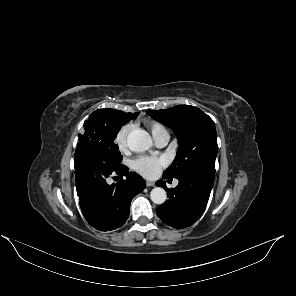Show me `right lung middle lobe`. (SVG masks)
I'll return each mask as SVG.
<instances>
[{"mask_svg":"<svg viewBox=\"0 0 296 296\" xmlns=\"http://www.w3.org/2000/svg\"><path fill=\"white\" fill-rule=\"evenodd\" d=\"M139 113H125L106 109L103 113L90 117L84 122V134L79 135L77 148L90 151L101 157L110 168L122 166V155L114 140L122 125L138 116Z\"/></svg>","mask_w":296,"mask_h":296,"instance_id":"right-lung-middle-lobe-1","label":"right lung middle lobe"}]
</instances>
